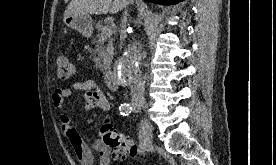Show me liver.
I'll use <instances>...</instances> for the list:
<instances>
[{"mask_svg":"<svg viewBox=\"0 0 276 165\" xmlns=\"http://www.w3.org/2000/svg\"><path fill=\"white\" fill-rule=\"evenodd\" d=\"M133 0H131L132 2ZM130 2V3H131ZM125 0H71L64 13V19L71 15L115 14L123 9Z\"/></svg>","mask_w":276,"mask_h":165,"instance_id":"6515ba94","label":"liver"}]
</instances>
